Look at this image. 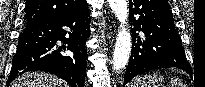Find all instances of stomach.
Returning <instances> with one entry per match:
<instances>
[{
	"instance_id": "0dacf381",
	"label": "stomach",
	"mask_w": 205,
	"mask_h": 87,
	"mask_svg": "<svg viewBox=\"0 0 205 87\" xmlns=\"http://www.w3.org/2000/svg\"><path fill=\"white\" fill-rule=\"evenodd\" d=\"M163 83L164 78L162 76L153 74L140 78L133 87H162Z\"/></svg>"
}]
</instances>
